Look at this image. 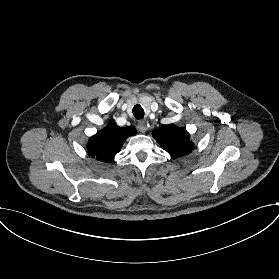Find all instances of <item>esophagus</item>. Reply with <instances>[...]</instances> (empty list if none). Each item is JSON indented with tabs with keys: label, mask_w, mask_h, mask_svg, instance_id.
Instances as JSON below:
<instances>
[{
	"label": "esophagus",
	"mask_w": 279,
	"mask_h": 279,
	"mask_svg": "<svg viewBox=\"0 0 279 279\" xmlns=\"http://www.w3.org/2000/svg\"><path fill=\"white\" fill-rule=\"evenodd\" d=\"M137 130L140 133H145L147 130V124L144 121H139L137 124Z\"/></svg>",
	"instance_id": "34e87169"
}]
</instances>
